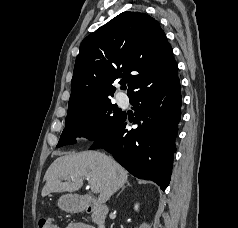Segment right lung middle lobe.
<instances>
[{
  "label": "right lung middle lobe",
  "mask_w": 238,
  "mask_h": 228,
  "mask_svg": "<svg viewBox=\"0 0 238 228\" xmlns=\"http://www.w3.org/2000/svg\"><path fill=\"white\" fill-rule=\"evenodd\" d=\"M123 113H119L115 104L110 100L88 105L83 108H68L63 130L57 147L76 143V137L84 136L89 140L108 132L120 120Z\"/></svg>",
  "instance_id": "1"
}]
</instances>
